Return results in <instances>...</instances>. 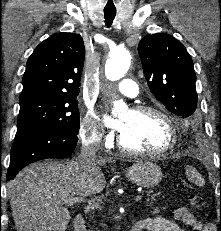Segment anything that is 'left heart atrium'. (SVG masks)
<instances>
[{
	"mask_svg": "<svg viewBox=\"0 0 221 231\" xmlns=\"http://www.w3.org/2000/svg\"><path fill=\"white\" fill-rule=\"evenodd\" d=\"M107 124L118 131H122L123 129V122L121 120H112V119H107Z\"/></svg>",
	"mask_w": 221,
	"mask_h": 231,
	"instance_id": "left-heart-atrium-1",
	"label": "left heart atrium"
}]
</instances>
